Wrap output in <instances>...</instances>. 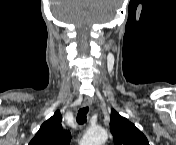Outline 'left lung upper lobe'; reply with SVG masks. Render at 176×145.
Listing matches in <instances>:
<instances>
[{"label": "left lung upper lobe", "instance_id": "left-lung-upper-lobe-1", "mask_svg": "<svg viewBox=\"0 0 176 145\" xmlns=\"http://www.w3.org/2000/svg\"><path fill=\"white\" fill-rule=\"evenodd\" d=\"M110 131L114 145H149L145 135L128 119L111 111Z\"/></svg>", "mask_w": 176, "mask_h": 145}]
</instances>
